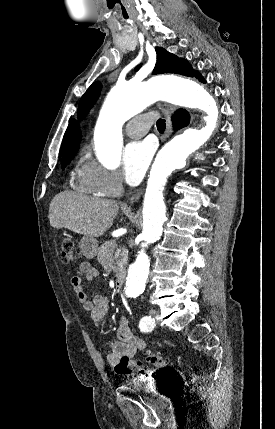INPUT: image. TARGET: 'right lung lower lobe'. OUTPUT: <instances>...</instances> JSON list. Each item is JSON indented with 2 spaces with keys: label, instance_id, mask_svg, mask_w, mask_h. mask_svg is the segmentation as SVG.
<instances>
[{
  "label": "right lung lower lobe",
  "instance_id": "1",
  "mask_svg": "<svg viewBox=\"0 0 275 429\" xmlns=\"http://www.w3.org/2000/svg\"><path fill=\"white\" fill-rule=\"evenodd\" d=\"M189 114L185 110H179L172 118L173 127L175 130L185 127L189 123Z\"/></svg>",
  "mask_w": 275,
  "mask_h": 429
}]
</instances>
